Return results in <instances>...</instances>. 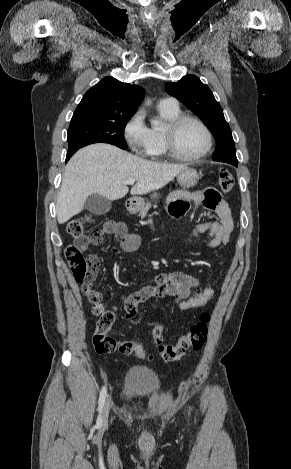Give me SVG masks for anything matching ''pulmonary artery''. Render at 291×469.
Returning <instances> with one entry per match:
<instances>
[{"instance_id":"obj_1","label":"pulmonary artery","mask_w":291,"mask_h":469,"mask_svg":"<svg viewBox=\"0 0 291 469\" xmlns=\"http://www.w3.org/2000/svg\"><path fill=\"white\" fill-rule=\"evenodd\" d=\"M159 105L160 106H165V107H178V102L175 98L173 97H168V98H164L162 99L160 102H159Z\"/></svg>"}]
</instances>
